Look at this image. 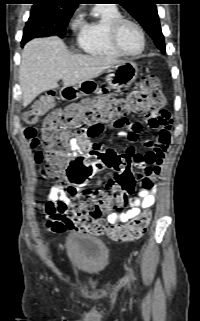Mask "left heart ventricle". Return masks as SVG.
Here are the masks:
<instances>
[{
  "label": "left heart ventricle",
  "mask_w": 200,
  "mask_h": 321,
  "mask_svg": "<svg viewBox=\"0 0 200 321\" xmlns=\"http://www.w3.org/2000/svg\"><path fill=\"white\" fill-rule=\"evenodd\" d=\"M119 43L125 51L135 53L142 47V38L134 26L125 24L119 32Z\"/></svg>",
  "instance_id": "obj_1"
}]
</instances>
